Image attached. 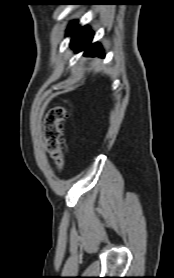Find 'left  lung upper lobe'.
Masks as SVG:
<instances>
[{
	"label": "left lung upper lobe",
	"instance_id": "1",
	"mask_svg": "<svg viewBox=\"0 0 174 278\" xmlns=\"http://www.w3.org/2000/svg\"><path fill=\"white\" fill-rule=\"evenodd\" d=\"M69 30H70V27H69V29H68V31H67L68 34H69Z\"/></svg>",
	"mask_w": 174,
	"mask_h": 278
}]
</instances>
